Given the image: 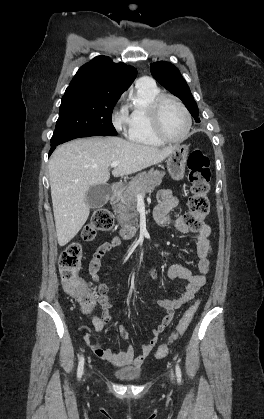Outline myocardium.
Wrapping results in <instances>:
<instances>
[{"label":"myocardium","mask_w":264,"mask_h":419,"mask_svg":"<svg viewBox=\"0 0 264 419\" xmlns=\"http://www.w3.org/2000/svg\"><path fill=\"white\" fill-rule=\"evenodd\" d=\"M166 100H171L176 103L185 115L186 129L180 137H169L163 131L161 124V109ZM150 119L153 133L160 141L165 143H178L184 141L188 137L192 127V117L185 104L178 97L169 93H160L153 99L150 105Z\"/></svg>","instance_id":"f54148a6"}]
</instances>
